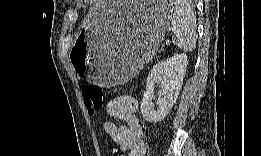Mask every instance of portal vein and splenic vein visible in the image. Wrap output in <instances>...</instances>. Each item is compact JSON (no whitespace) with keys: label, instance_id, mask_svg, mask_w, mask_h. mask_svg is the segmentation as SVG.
<instances>
[{"label":"portal vein and splenic vein","instance_id":"obj_1","mask_svg":"<svg viewBox=\"0 0 261 156\" xmlns=\"http://www.w3.org/2000/svg\"><path fill=\"white\" fill-rule=\"evenodd\" d=\"M166 44H170V40H166Z\"/></svg>","mask_w":261,"mask_h":156}]
</instances>
